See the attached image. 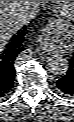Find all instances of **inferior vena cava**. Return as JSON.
I'll use <instances>...</instances> for the list:
<instances>
[{"mask_svg":"<svg viewBox=\"0 0 74 122\" xmlns=\"http://www.w3.org/2000/svg\"><path fill=\"white\" fill-rule=\"evenodd\" d=\"M39 11V2L33 7H26L23 9V12L20 14L21 25H26Z\"/></svg>","mask_w":74,"mask_h":122,"instance_id":"obj_1","label":"inferior vena cava"}]
</instances>
